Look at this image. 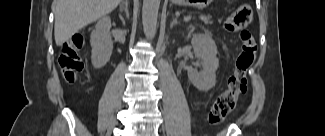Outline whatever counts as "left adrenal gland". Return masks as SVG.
Here are the masks:
<instances>
[{
    "mask_svg": "<svg viewBox=\"0 0 325 136\" xmlns=\"http://www.w3.org/2000/svg\"><path fill=\"white\" fill-rule=\"evenodd\" d=\"M179 22L177 20V17L173 18V21L171 22V28L174 26V25H177Z\"/></svg>",
    "mask_w": 325,
    "mask_h": 136,
    "instance_id": "left-adrenal-gland-1",
    "label": "left adrenal gland"
}]
</instances>
